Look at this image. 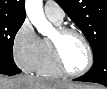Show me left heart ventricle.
I'll return each instance as SVG.
<instances>
[{"label": "left heart ventricle", "instance_id": "obj_1", "mask_svg": "<svg viewBox=\"0 0 107 89\" xmlns=\"http://www.w3.org/2000/svg\"><path fill=\"white\" fill-rule=\"evenodd\" d=\"M52 37H55V33ZM62 59L69 71L82 70L88 60V54L83 41L76 35L70 34L60 40Z\"/></svg>", "mask_w": 107, "mask_h": 89}]
</instances>
